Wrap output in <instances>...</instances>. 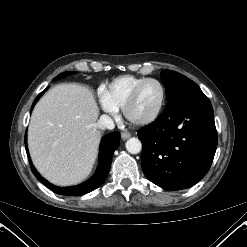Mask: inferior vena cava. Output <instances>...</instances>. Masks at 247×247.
Masks as SVG:
<instances>
[{"instance_id":"602c4592","label":"inferior vena cava","mask_w":247,"mask_h":247,"mask_svg":"<svg viewBox=\"0 0 247 247\" xmlns=\"http://www.w3.org/2000/svg\"><path fill=\"white\" fill-rule=\"evenodd\" d=\"M98 127L101 129H114L115 125L113 120L108 115H101L98 120Z\"/></svg>"}]
</instances>
